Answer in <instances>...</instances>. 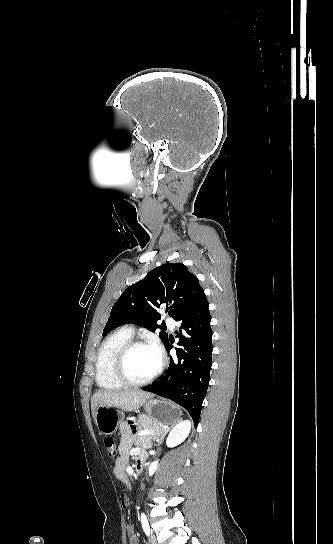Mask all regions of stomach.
<instances>
[{"instance_id": "1", "label": "stomach", "mask_w": 333, "mask_h": 544, "mask_svg": "<svg viewBox=\"0 0 333 544\" xmlns=\"http://www.w3.org/2000/svg\"><path fill=\"white\" fill-rule=\"evenodd\" d=\"M145 410L154 421L167 425L179 421L182 414L178 406L158 399L147 400ZM95 423L101 434L112 435L123 423V416L109 405H99L95 412Z\"/></svg>"}]
</instances>
